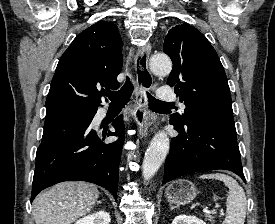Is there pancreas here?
<instances>
[{"label":"pancreas","instance_id":"1","mask_svg":"<svg viewBox=\"0 0 275 224\" xmlns=\"http://www.w3.org/2000/svg\"><path fill=\"white\" fill-rule=\"evenodd\" d=\"M205 219H206L207 221H210L211 224H214V223H213V217H212L211 215H205Z\"/></svg>","mask_w":275,"mask_h":224}]
</instances>
